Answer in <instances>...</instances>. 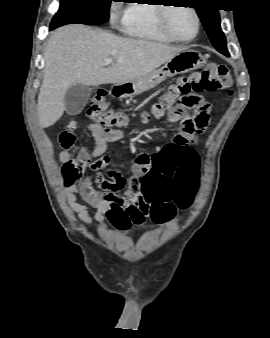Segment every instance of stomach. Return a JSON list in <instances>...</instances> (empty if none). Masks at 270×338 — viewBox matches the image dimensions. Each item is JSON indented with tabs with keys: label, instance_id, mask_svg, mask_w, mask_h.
Listing matches in <instances>:
<instances>
[{
	"label": "stomach",
	"instance_id": "1",
	"mask_svg": "<svg viewBox=\"0 0 270 338\" xmlns=\"http://www.w3.org/2000/svg\"><path fill=\"white\" fill-rule=\"evenodd\" d=\"M203 56L194 50L186 49L165 62L160 69L154 70L131 82L118 85L123 96H133L154 88L168 77L184 74L203 67Z\"/></svg>",
	"mask_w": 270,
	"mask_h": 338
}]
</instances>
